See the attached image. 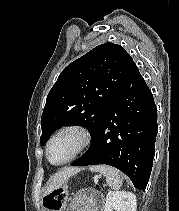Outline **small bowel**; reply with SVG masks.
Instances as JSON below:
<instances>
[{"label": "small bowel", "mask_w": 179, "mask_h": 211, "mask_svg": "<svg viewBox=\"0 0 179 211\" xmlns=\"http://www.w3.org/2000/svg\"><path fill=\"white\" fill-rule=\"evenodd\" d=\"M104 200L94 190L77 193L70 201L66 211H104Z\"/></svg>", "instance_id": "obj_1"}]
</instances>
